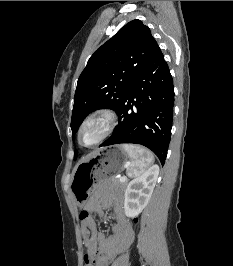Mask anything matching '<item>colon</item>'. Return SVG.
Here are the masks:
<instances>
[{"mask_svg": "<svg viewBox=\"0 0 233 266\" xmlns=\"http://www.w3.org/2000/svg\"><path fill=\"white\" fill-rule=\"evenodd\" d=\"M90 218L91 216L87 210H82L79 214L81 224H86Z\"/></svg>", "mask_w": 233, "mask_h": 266, "instance_id": "obj_1", "label": "colon"}]
</instances>
